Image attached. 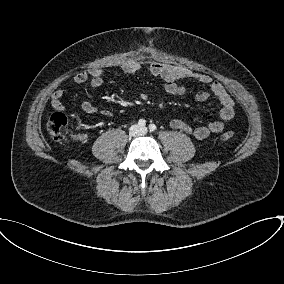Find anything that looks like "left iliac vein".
Returning a JSON list of instances; mask_svg holds the SVG:
<instances>
[{
    "label": "left iliac vein",
    "instance_id": "left-iliac-vein-1",
    "mask_svg": "<svg viewBox=\"0 0 284 284\" xmlns=\"http://www.w3.org/2000/svg\"><path fill=\"white\" fill-rule=\"evenodd\" d=\"M141 131H142L143 133H146V132H147V128L143 127V128H141Z\"/></svg>",
    "mask_w": 284,
    "mask_h": 284
}]
</instances>
